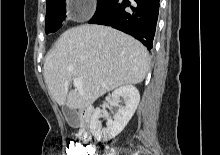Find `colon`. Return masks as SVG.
I'll use <instances>...</instances> for the list:
<instances>
[{
    "instance_id": "5ec220e1",
    "label": "colon",
    "mask_w": 220,
    "mask_h": 155,
    "mask_svg": "<svg viewBox=\"0 0 220 155\" xmlns=\"http://www.w3.org/2000/svg\"><path fill=\"white\" fill-rule=\"evenodd\" d=\"M92 146V143H79L77 140H71L66 148L71 155H93Z\"/></svg>"
}]
</instances>
